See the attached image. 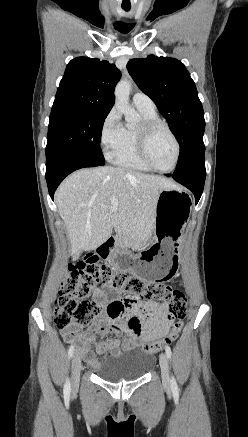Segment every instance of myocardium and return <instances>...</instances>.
Wrapping results in <instances>:
<instances>
[{"mask_svg": "<svg viewBox=\"0 0 248 437\" xmlns=\"http://www.w3.org/2000/svg\"><path fill=\"white\" fill-rule=\"evenodd\" d=\"M158 129H164L168 132V134L171 136V138L174 141L175 147H176V153L175 158L172 166L169 169L162 170L153 165V163L150 160L149 153H148V146L149 141L151 139V136L153 133ZM137 150L138 154L140 156V159L144 163V165L158 173H170L172 172L176 167L180 159L181 154V146L180 142L175 135V133L172 131V129L166 124L165 122L161 121L160 119L156 120H148L143 121L138 127H137Z\"/></svg>", "mask_w": 248, "mask_h": 437, "instance_id": "1", "label": "myocardium"}]
</instances>
